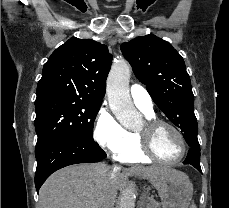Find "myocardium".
Here are the masks:
<instances>
[{"mask_svg": "<svg viewBox=\"0 0 229 208\" xmlns=\"http://www.w3.org/2000/svg\"><path fill=\"white\" fill-rule=\"evenodd\" d=\"M162 127L172 129L169 133L170 135H172L174 143H178V147H185V152L181 157L175 160H161V157L155 156L156 152H151L150 140L154 139L156 131ZM138 134L143 140V143L139 144V147L141 148L140 152L143 153V158H152L155 161L163 164H176L183 161L191 150V144L183 131L176 125L164 120H159L155 118L148 119L145 123V131H139Z\"/></svg>", "mask_w": 229, "mask_h": 208, "instance_id": "myocardium-1", "label": "myocardium"}]
</instances>
